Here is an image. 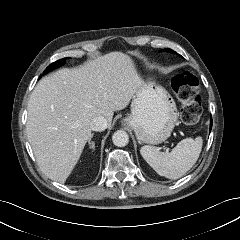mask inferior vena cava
<instances>
[{"instance_id": "inferior-vena-cava-1", "label": "inferior vena cava", "mask_w": 240, "mask_h": 240, "mask_svg": "<svg viewBox=\"0 0 240 240\" xmlns=\"http://www.w3.org/2000/svg\"><path fill=\"white\" fill-rule=\"evenodd\" d=\"M90 128L93 131H103L107 128V120L103 116H97L90 122Z\"/></svg>"}]
</instances>
